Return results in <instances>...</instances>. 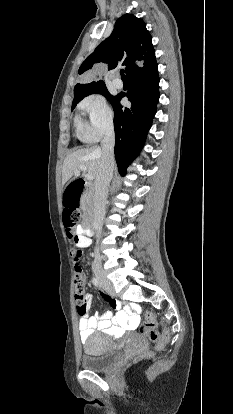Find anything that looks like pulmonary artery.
<instances>
[{
	"label": "pulmonary artery",
	"mask_w": 233,
	"mask_h": 414,
	"mask_svg": "<svg viewBox=\"0 0 233 414\" xmlns=\"http://www.w3.org/2000/svg\"><path fill=\"white\" fill-rule=\"evenodd\" d=\"M113 85H114L116 88H122V87H123V83H122V81H121L119 78H115V79L113 80Z\"/></svg>",
	"instance_id": "1"
}]
</instances>
